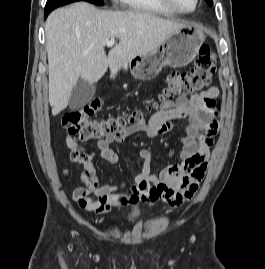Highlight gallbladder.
<instances>
[{
  "label": "gallbladder",
  "instance_id": "obj_1",
  "mask_svg": "<svg viewBox=\"0 0 265 269\" xmlns=\"http://www.w3.org/2000/svg\"><path fill=\"white\" fill-rule=\"evenodd\" d=\"M95 85L80 79L73 87L69 99V107L77 110L84 107L95 94Z\"/></svg>",
  "mask_w": 265,
  "mask_h": 269
}]
</instances>
